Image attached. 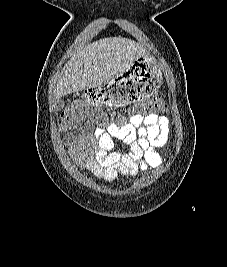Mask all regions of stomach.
<instances>
[{
	"instance_id": "1",
	"label": "stomach",
	"mask_w": 227,
	"mask_h": 267,
	"mask_svg": "<svg viewBox=\"0 0 227 267\" xmlns=\"http://www.w3.org/2000/svg\"><path fill=\"white\" fill-rule=\"evenodd\" d=\"M162 75L155 60L141 56L133 60L111 82H104V87H90L86 91L84 104H97L104 107H125L147 101V96L158 92Z\"/></svg>"
}]
</instances>
